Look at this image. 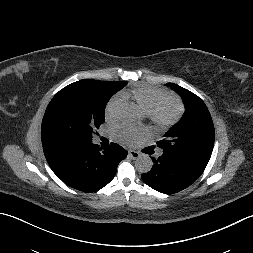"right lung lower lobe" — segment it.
<instances>
[{
	"label": "right lung lower lobe",
	"mask_w": 253,
	"mask_h": 253,
	"mask_svg": "<svg viewBox=\"0 0 253 253\" xmlns=\"http://www.w3.org/2000/svg\"><path fill=\"white\" fill-rule=\"evenodd\" d=\"M53 172L68 186L94 192L107 185L115 176L117 166L127 156L116 143L101 151L90 143H52L43 146Z\"/></svg>",
	"instance_id": "right-lung-lower-lobe-1"
}]
</instances>
